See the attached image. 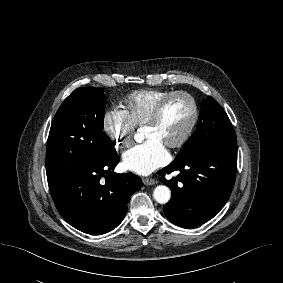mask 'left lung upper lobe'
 <instances>
[{
    "mask_svg": "<svg viewBox=\"0 0 283 283\" xmlns=\"http://www.w3.org/2000/svg\"><path fill=\"white\" fill-rule=\"evenodd\" d=\"M236 143L233 126L221 106L212 98L202 101L197 129L175 160L195 151Z\"/></svg>",
    "mask_w": 283,
    "mask_h": 283,
    "instance_id": "5c2ea615",
    "label": "left lung upper lobe"
}]
</instances>
